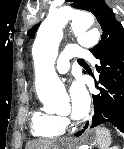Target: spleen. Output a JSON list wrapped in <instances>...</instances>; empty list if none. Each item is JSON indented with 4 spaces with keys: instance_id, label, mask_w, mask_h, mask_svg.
<instances>
[{
    "instance_id": "spleen-1",
    "label": "spleen",
    "mask_w": 124,
    "mask_h": 149,
    "mask_svg": "<svg viewBox=\"0 0 124 149\" xmlns=\"http://www.w3.org/2000/svg\"><path fill=\"white\" fill-rule=\"evenodd\" d=\"M97 142L100 149H107L111 144V136L106 128H97L96 131Z\"/></svg>"
}]
</instances>
